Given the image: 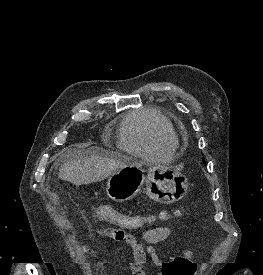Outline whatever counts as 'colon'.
<instances>
[{"instance_id":"colon-1","label":"colon","mask_w":263,"mask_h":275,"mask_svg":"<svg viewBox=\"0 0 263 275\" xmlns=\"http://www.w3.org/2000/svg\"><path fill=\"white\" fill-rule=\"evenodd\" d=\"M93 216L100 221L112 223L123 229L135 230L141 229L156 221H167L172 218H179L183 215L182 208L164 210L157 214L151 215H134L124 213L110 205H97L92 209ZM115 238L122 239L126 232L120 229H115ZM192 253L186 252L183 255L173 257L167 265V275H186L193 267Z\"/></svg>"}]
</instances>
